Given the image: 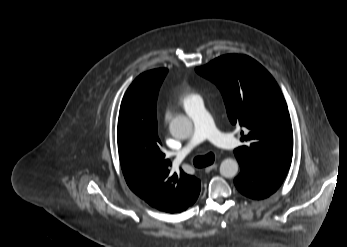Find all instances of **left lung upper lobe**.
<instances>
[{
	"label": "left lung upper lobe",
	"mask_w": 347,
	"mask_h": 247,
	"mask_svg": "<svg viewBox=\"0 0 347 247\" xmlns=\"http://www.w3.org/2000/svg\"><path fill=\"white\" fill-rule=\"evenodd\" d=\"M220 89L229 120L245 128L246 145L237 160L256 168L289 169L293 155L291 120L282 92L270 73L246 55H225L196 68Z\"/></svg>",
	"instance_id": "1"
}]
</instances>
